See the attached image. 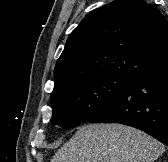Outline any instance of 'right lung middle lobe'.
<instances>
[{
	"instance_id": "right-lung-middle-lobe-1",
	"label": "right lung middle lobe",
	"mask_w": 168,
	"mask_h": 162,
	"mask_svg": "<svg viewBox=\"0 0 168 162\" xmlns=\"http://www.w3.org/2000/svg\"><path fill=\"white\" fill-rule=\"evenodd\" d=\"M133 78L110 74L69 85L52 93V125L64 129L91 121Z\"/></svg>"
}]
</instances>
